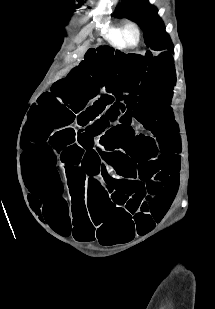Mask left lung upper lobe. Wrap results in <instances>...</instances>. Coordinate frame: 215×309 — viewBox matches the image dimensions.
Here are the masks:
<instances>
[{"label":"left lung upper lobe","instance_id":"obj_1","mask_svg":"<svg viewBox=\"0 0 215 309\" xmlns=\"http://www.w3.org/2000/svg\"><path fill=\"white\" fill-rule=\"evenodd\" d=\"M122 7L117 8L114 16L128 17L138 23L144 32L145 44L153 50L172 47L170 37L164 30L156 8L148 0H122Z\"/></svg>","mask_w":215,"mask_h":309}]
</instances>
